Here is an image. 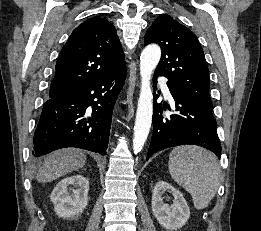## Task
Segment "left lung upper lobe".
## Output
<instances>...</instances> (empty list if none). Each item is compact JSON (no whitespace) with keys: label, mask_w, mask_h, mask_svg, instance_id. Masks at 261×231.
<instances>
[{"label":"left lung upper lobe","mask_w":261,"mask_h":231,"mask_svg":"<svg viewBox=\"0 0 261 231\" xmlns=\"http://www.w3.org/2000/svg\"><path fill=\"white\" fill-rule=\"evenodd\" d=\"M144 43H158L161 47L162 56L155 74L168 79L171 91L194 105L213 110L208 66L192 31L162 14L148 29Z\"/></svg>","instance_id":"left-lung-upper-lobe-1"}]
</instances>
